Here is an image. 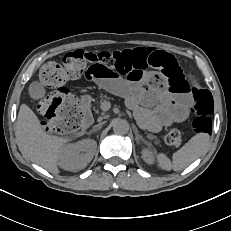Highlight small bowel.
I'll list each match as a JSON object with an SVG mask.
<instances>
[{
    "label": "small bowel",
    "mask_w": 231,
    "mask_h": 231,
    "mask_svg": "<svg viewBox=\"0 0 231 231\" xmlns=\"http://www.w3.org/2000/svg\"><path fill=\"white\" fill-rule=\"evenodd\" d=\"M85 77L107 92L124 97L139 121L150 130L159 131L188 117L191 97L170 91L164 76L156 70L141 71L125 79L114 69L92 65Z\"/></svg>",
    "instance_id": "c3829d8e"
}]
</instances>
